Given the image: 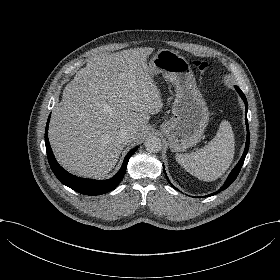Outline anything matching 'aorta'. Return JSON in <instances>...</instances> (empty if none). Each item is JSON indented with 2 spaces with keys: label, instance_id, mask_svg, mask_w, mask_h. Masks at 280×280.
Returning a JSON list of instances; mask_svg holds the SVG:
<instances>
[{
  "label": "aorta",
  "instance_id": "1",
  "mask_svg": "<svg viewBox=\"0 0 280 280\" xmlns=\"http://www.w3.org/2000/svg\"><path fill=\"white\" fill-rule=\"evenodd\" d=\"M145 148L151 153H155L161 150L162 142L158 136H148L144 142Z\"/></svg>",
  "mask_w": 280,
  "mask_h": 280
}]
</instances>
